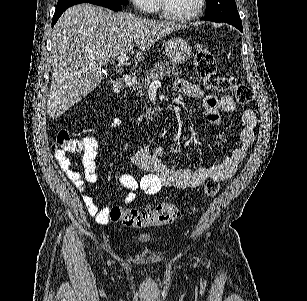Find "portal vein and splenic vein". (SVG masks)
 I'll use <instances>...</instances> for the list:
<instances>
[{"mask_svg": "<svg viewBox=\"0 0 307 301\" xmlns=\"http://www.w3.org/2000/svg\"><path fill=\"white\" fill-rule=\"evenodd\" d=\"M127 54L123 52V54H119L118 56V64H127ZM150 86H160V80H152Z\"/></svg>", "mask_w": 307, "mask_h": 301, "instance_id": "18ae733b", "label": "portal vein and splenic vein"}]
</instances>
